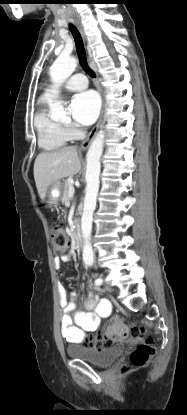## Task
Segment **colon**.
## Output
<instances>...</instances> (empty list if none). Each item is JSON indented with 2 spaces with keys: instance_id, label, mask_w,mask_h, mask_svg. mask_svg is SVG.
<instances>
[{
  "instance_id": "1",
  "label": "colon",
  "mask_w": 187,
  "mask_h": 415,
  "mask_svg": "<svg viewBox=\"0 0 187 415\" xmlns=\"http://www.w3.org/2000/svg\"><path fill=\"white\" fill-rule=\"evenodd\" d=\"M53 240V252L62 255L69 246V237L59 225L52 226L50 230ZM125 338H141L142 342L131 352L129 361L132 366H145L155 352V344L147 330L141 326L127 327L124 323L116 321L107 330L96 337H91L88 343L96 349L112 345Z\"/></svg>"
}]
</instances>
